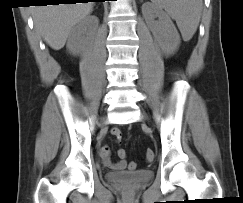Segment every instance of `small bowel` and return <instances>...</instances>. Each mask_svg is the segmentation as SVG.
Listing matches in <instances>:
<instances>
[{"instance_id": "obj_1", "label": "small bowel", "mask_w": 243, "mask_h": 203, "mask_svg": "<svg viewBox=\"0 0 243 203\" xmlns=\"http://www.w3.org/2000/svg\"><path fill=\"white\" fill-rule=\"evenodd\" d=\"M111 133L113 136L117 137L118 139L121 138V132L118 128H113L111 130ZM119 151H118V156L120 160L118 162H112L110 159V147L108 145H102L100 148V156L102 158L103 164L110 169H114L118 171L125 169L126 168V161L124 159L125 156L120 155ZM129 168H130V164H129Z\"/></svg>"}]
</instances>
